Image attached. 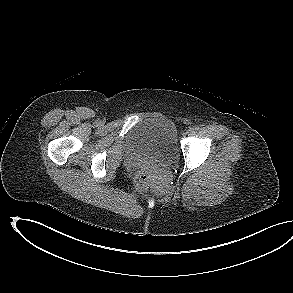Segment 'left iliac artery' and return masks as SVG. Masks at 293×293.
<instances>
[{
  "instance_id": "44dca946",
  "label": "left iliac artery",
  "mask_w": 293,
  "mask_h": 293,
  "mask_svg": "<svg viewBox=\"0 0 293 293\" xmlns=\"http://www.w3.org/2000/svg\"><path fill=\"white\" fill-rule=\"evenodd\" d=\"M199 128H200V127H199L198 125H195V126L193 127V130H194V131H198Z\"/></svg>"
}]
</instances>
